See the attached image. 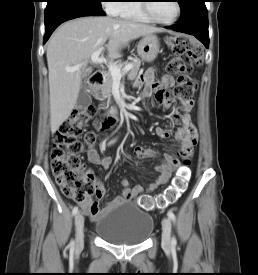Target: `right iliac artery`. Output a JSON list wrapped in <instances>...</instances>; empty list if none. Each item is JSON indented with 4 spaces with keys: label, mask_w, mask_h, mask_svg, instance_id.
I'll use <instances>...</instances> for the list:
<instances>
[{
    "label": "right iliac artery",
    "mask_w": 258,
    "mask_h": 275,
    "mask_svg": "<svg viewBox=\"0 0 258 275\" xmlns=\"http://www.w3.org/2000/svg\"><path fill=\"white\" fill-rule=\"evenodd\" d=\"M115 142V140H112L111 142H109V144H112V143H114ZM78 213V207L77 206H75L74 208H73V210H72V214L73 215H76ZM74 245H75V243H74V241L72 240L71 242H70V247H71V249H74Z\"/></svg>",
    "instance_id": "right-iliac-artery-1"
}]
</instances>
